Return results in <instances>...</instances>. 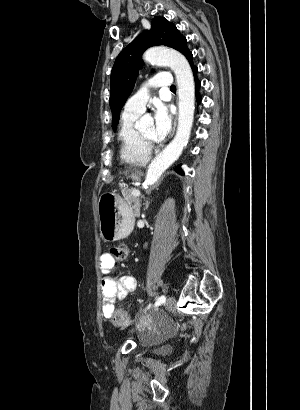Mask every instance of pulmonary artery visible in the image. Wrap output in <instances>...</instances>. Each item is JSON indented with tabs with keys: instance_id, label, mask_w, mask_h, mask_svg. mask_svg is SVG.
Segmentation results:
<instances>
[{
	"instance_id": "e3ab8cb5",
	"label": "pulmonary artery",
	"mask_w": 300,
	"mask_h": 410,
	"mask_svg": "<svg viewBox=\"0 0 300 410\" xmlns=\"http://www.w3.org/2000/svg\"><path fill=\"white\" fill-rule=\"evenodd\" d=\"M172 78L169 73H158L155 77L145 83V86L152 87H169L171 86ZM149 98V90L147 87L143 88L137 94L128 99L125 104V111L141 113L144 110L145 104Z\"/></svg>"
}]
</instances>
